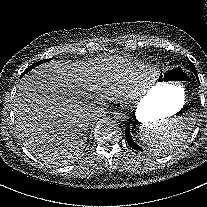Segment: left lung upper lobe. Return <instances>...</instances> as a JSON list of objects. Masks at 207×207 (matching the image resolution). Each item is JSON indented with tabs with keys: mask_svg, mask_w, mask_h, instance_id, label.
Returning a JSON list of instances; mask_svg holds the SVG:
<instances>
[{
	"mask_svg": "<svg viewBox=\"0 0 207 207\" xmlns=\"http://www.w3.org/2000/svg\"><path fill=\"white\" fill-rule=\"evenodd\" d=\"M192 68H195L193 63H191V69H192Z\"/></svg>",
	"mask_w": 207,
	"mask_h": 207,
	"instance_id": "5c2ea615",
	"label": "left lung upper lobe"
}]
</instances>
